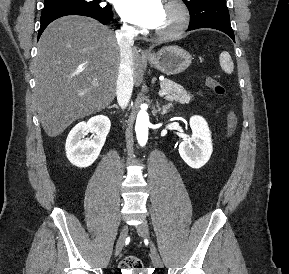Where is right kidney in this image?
I'll use <instances>...</instances> for the list:
<instances>
[{"label": "right kidney", "mask_w": 289, "mask_h": 274, "mask_svg": "<svg viewBox=\"0 0 289 274\" xmlns=\"http://www.w3.org/2000/svg\"><path fill=\"white\" fill-rule=\"evenodd\" d=\"M110 120L107 116L91 117L74 126L68 134L65 144L66 156L75 166L85 168L92 165L98 158L110 130ZM88 132L94 133L91 140L82 138Z\"/></svg>", "instance_id": "ca27d5eb"}]
</instances>
